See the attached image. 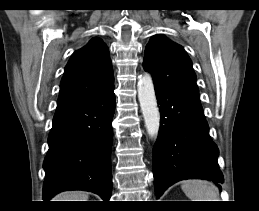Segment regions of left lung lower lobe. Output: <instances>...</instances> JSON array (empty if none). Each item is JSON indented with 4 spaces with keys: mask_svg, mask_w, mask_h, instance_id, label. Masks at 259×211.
<instances>
[{
    "mask_svg": "<svg viewBox=\"0 0 259 211\" xmlns=\"http://www.w3.org/2000/svg\"><path fill=\"white\" fill-rule=\"evenodd\" d=\"M160 105V131L153 148L157 198L173 183L198 178L223 183L217 163L218 148L197 96L155 87Z\"/></svg>",
    "mask_w": 259,
    "mask_h": 211,
    "instance_id": "1",
    "label": "left lung lower lobe"
}]
</instances>
